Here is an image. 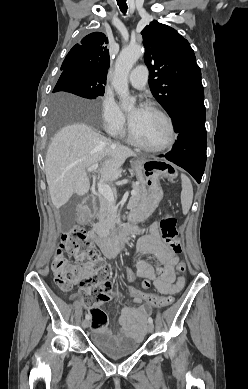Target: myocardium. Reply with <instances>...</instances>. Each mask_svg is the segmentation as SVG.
Masks as SVG:
<instances>
[{
	"label": "myocardium",
	"instance_id": "myocardium-1",
	"mask_svg": "<svg viewBox=\"0 0 248 389\" xmlns=\"http://www.w3.org/2000/svg\"><path fill=\"white\" fill-rule=\"evenodd\" d=\"M144 108L149 109V110L157 113L158 115H160L164 119V121L166 122V124L168 126V138L163 144L158 145V146L146 145V144L142 143L136 137V135L133 132L131 122H129L128 136H129L130 141L138 148H140L146 152H150V153H159V152H162V151L169 149L170 147H172L174 145L175 140H176V130H175V126H174L172 118L161 107H159L158 105H156L154 103H146L144 105Z\"/></svg>",
	"mask_w": 248,
	"mask_h": 389
}]
</instances>
